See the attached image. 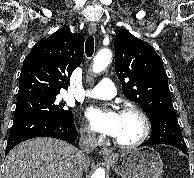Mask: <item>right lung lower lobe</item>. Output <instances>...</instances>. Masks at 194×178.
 Segmentation results:
<instances>
[{"label":"right lung lower lobe","mask_w":194,"mask_h":178,"mask_svg":"<svg viewBox=\"0 0 194 178\" xmlns=\"http://www.w3.org/2000/svg\"><path fill=\"white\" fill-rule=\"evenodd\" d=\"M77 135L73 116L55 118L41 113L15 115L5 155L17 144L34 137L47 136L74 142Z\"/></svg>","instance_id":"obj_1"}]
</instances>
